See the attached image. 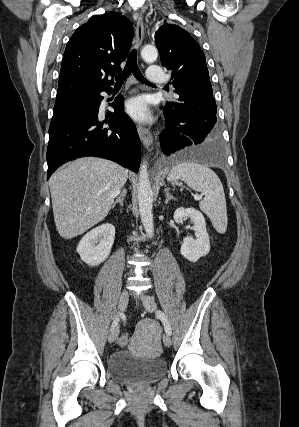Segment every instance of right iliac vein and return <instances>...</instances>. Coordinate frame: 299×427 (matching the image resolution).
<instances>
[{
	"label": "right iliac vein",
	"mask_w": 299,
	"mask_h": 427,
	"mask_svg": "<svg viewBox=\"0 0 299 427\" xmlns=\"http://www.w3.org/2000/svg\"><path fill=\"white\" fill-rule=\"evenodd\" d=\"M128 300H129V295H128V291L127 289H123V291L121 292L120 298H119V304H118V309L119 312L122 313L125 311L127 304H128ZM119 334V326L118 324L111 330L108 340L110 343H113Z\"/></svg>",
	"instance_id": "63e3f726"
}]
</instances>
